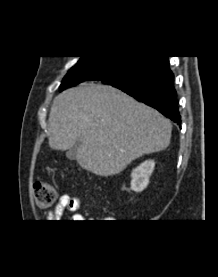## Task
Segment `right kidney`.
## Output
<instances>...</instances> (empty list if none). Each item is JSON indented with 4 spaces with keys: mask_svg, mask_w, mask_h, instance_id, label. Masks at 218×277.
Returning a JSON list of instances; mask_svg holds the SVG:
<instances>
[{
    "mask_svg": "<svg viewBox=\"0 0 218 277\" xmlns=\"http://www.w3.org/2000/svg\"><path fill=\"white\" fill-rule=\"evenodd\" d=\"M154 167V160H147L133 169L131 173V189L136 192L143 191L149 183V178L154 170Z\"/></svg>",
    "mask_w": 218,
    "mask_h": 277,
    "instance_id": "1",
    "label": "right kidney"
}]
</instances>
